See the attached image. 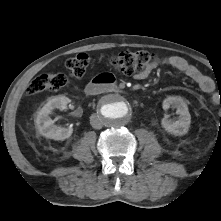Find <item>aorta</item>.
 Returning <instances> with one entry per match:
<instances>
[{
  "label": "aorta",
  "mask_w": 221,
  "mask_h": 221,
  "mask_svg": "<svg viewBox=\"0 0 221 221\" xmlns=\"http://www.w3.org/2000/svg\"><path fill=\"white\" fill-rule=\"evenodd\" d=\"M131 113V104L122 95H110L103 99L100 105V117L108 126L117 127L126 124Z\"/></svg>",
  "instance_id": "aorta-1"
}]
</instances>
